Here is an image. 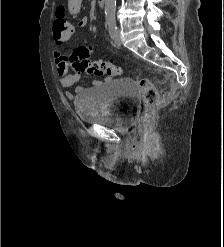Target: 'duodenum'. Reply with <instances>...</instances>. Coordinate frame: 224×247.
<instances>
[{
  "label": "duodenum",
  "mask_w": 224,
  "mask_h": 247,
  "mask_svg": "<svg viewBox=\"0 0 224 247\" xmlns=\"http://www.w3.org/2000/svg\"><path fill=\"white\" fill-rule=\"evenodd\" d=\"M106 5V0H98V8L103 9Z\"/></svg>",
  "instance_id": "obj_1"
}]
</instances>
